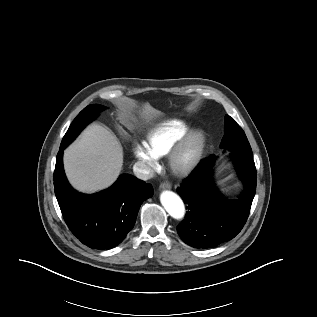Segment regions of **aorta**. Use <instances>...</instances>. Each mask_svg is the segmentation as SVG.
Wrapping results in <instances>:
<instances>
[{
    "instance_id": "obj_1",
    "label": "aorta",
    "mask_w": 317,
    "mask_h": 317,
    "mask_svg": "<svg viewBox=\"0 0 317 317\" xmlns=\"http://www.w3.org/2000/svg\"><path fill=\"white\" fill-rule=\"evenodd\" d=\"M161 204L167 213L176 220L185 215V206L181 198L172 191H164L160 196Z\"/></svg>"
}]
</instances>
